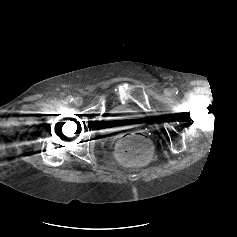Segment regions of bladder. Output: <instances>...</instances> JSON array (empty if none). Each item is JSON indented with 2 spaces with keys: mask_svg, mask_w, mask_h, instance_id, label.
<instances>
[{
  "mask_svg": "<svg viewBox=\"0 0 237 237\" xmlns=\"http://www.w3.org/2000/svg\"><path fill=\"white\" fill-rule=\"evenodd\" d=\"M142 116L125 106H115L111 112L106 115L101 123L103 134H112L121 129L137 126L141 123Z\"/></svg>",
  "mask_w": 237,
  "mask_h": 237,
  "instance_id": "1",
  "label": "bladder"
}]
</instances>
